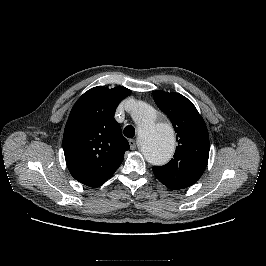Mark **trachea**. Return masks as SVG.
Returning a JSON list of instances; mask_svg holds the SVG:
<instances>
[{
  "instance_id": "trachea-1",
  "label": "trachea",
  "mask_w": 266,
  "mask_h": 266,
  "mask_svg": "<svg viewBox=\"0 0 266 266\" xmlns=\"http://www.w3.org/2000/svg\"><path fill=\"white\" fill-rule=\"evenodd\" d=\"M123 133L127 138H133L135 135V128L131 125H128L124 128Z\"/></svg>"
}]
</instances>
